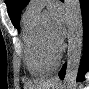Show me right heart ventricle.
I'll use <instances>...</instances> for the list:
<instances>
[{
  "label": "right heart ventricle",
  "instance_id": "obj_1",
  "mask_svg": "<svg viewBox=\"0 0 89 89\" xmlns=\"http://www.w3.org/2000/svg\"><path fill=\"white\" fill-rule=\"evenodd\" d=\"M37 14L24 12L22 16V40L24 47V62L28 71L34 76H43L52 72L57 63L48 60L39 44Z\"/></svg>",
  "mask_w": 89,
  "mask_h": 89
}]
</instances>
